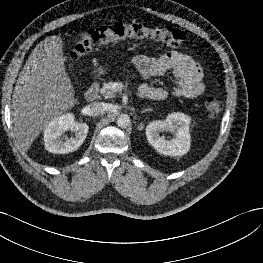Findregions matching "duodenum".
<instances>
[{
	"instance_id": "obj_1",
	"label": "duodenum",
	"mask_w": 263,
	"mask_h": 263,
	"mask_svg": "<svg viewBox=\"0 0 263 263\" xmlns=\"http://www.w3.org/2000/svg\"><path fill=\"white\" fill-rule=\"evenodd\" d=\"M99 91V86L97 83H93L89 88L85 91L84 98L86 101H93L96 99ZM140 94V93H139ZM141 96V94H140Z\"/></svg>"
}]
</instances>
